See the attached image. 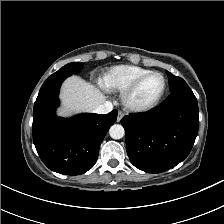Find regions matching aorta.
Segmentation results:
<instances>
[{"label": "aorta", "instance_id": "1", "mask_svg": "<svg viewBox=\"0 0 224 224\" xmlns=\"http://www.w3.org/2000/svg\"><path fill=\"white\" fill-rule=\"evenodd\" d=\"M110 137L113 139H121L125 134V130L122 125L114 124L109 129Z\"/></svg>", "mask_w": 224, "mask_h": 224}]
</instances>
